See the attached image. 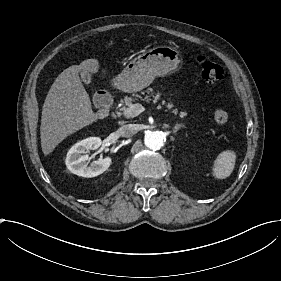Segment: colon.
I'll return each instance as SVG.
<instances>
[{"mask_svg": "<svg viewBox=\"0 0 281 281\" xmlns=\"http://www.w3.org/2000/svg\"><path fill=\"white\" fill-rule=\"evenodd\" d=\"M198 66L202 79L210 88L217 89L225 84L224 70L212 60L206 56H201L198 58ZM229 118V113L224 108H218L214 112V121L219 127H226L229 123Z\"/></svg>", "mask_w": 281, "mask_h": 281, "instance_id": "obj_1", "label": "colon"}]
</instances>
